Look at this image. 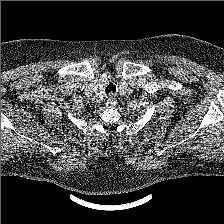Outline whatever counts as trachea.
<instances>
[{"label":"trachea","mask_w":224,"mask_h":224,"mask_svg":"<svg viewBox=\"0 0 224 224\" xmlns=\"http://www.w3.org/2000/svg\"><path fill=\"white\" fill-rule=\"evenodd\" d=\"M106 94H110L116 92V87L114 84H109L105 89Z\"/></svg>","instance_id":"obj_1"}]
</instances>
